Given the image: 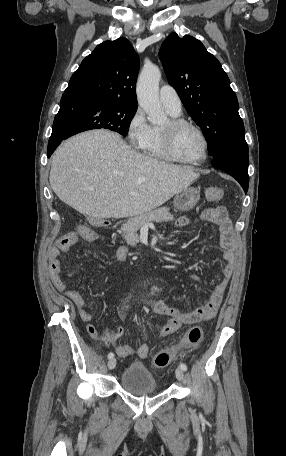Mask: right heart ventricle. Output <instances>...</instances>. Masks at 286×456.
Listing matches in <instances>:
<instances>
[{"instance_id": "e07e8e85", "label": "right heart ventricle", "mask_w": 286, "mask_h": 456, "mask_svg": "<svg viewBox=\"0 0 286 456\" xmlns=\"http://www.w3.org/2000/svg\"><path fill=\"white\" fill-rule=\"evenodd\" d=\"M172 115V114H171ZM173 117H178L179 115H172ZM142 151L150 158L154 160H166L167 158L163 154L161 148V140H160V129L159 128H151L150 137L142 148Z\"/></svg>"}]
</instances>
